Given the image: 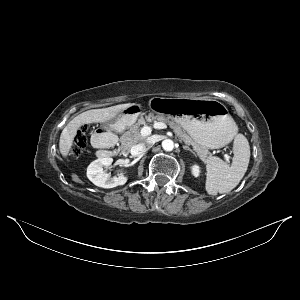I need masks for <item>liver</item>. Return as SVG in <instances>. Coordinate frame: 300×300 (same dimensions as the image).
<instances>
[{
	"instance_id": "liver-1",
	"label": "liver",
	"mask_w": 300,
	"mask_h": 300,
	"mask_svg": "<svg viewBox=\"0 0 300 300\" xmlns=\"http://www.w3.org/2000/svg\"><path fill=\"white\" fill-rule=\"evenodd\" d=\"M130 105L120 104L103 109L88 110L76 116L66 125L60 135L59 150L62 156L66 158L69 155L77 130L82 125L110 121Z\"/></svg>"
}]
</instances>
